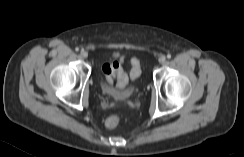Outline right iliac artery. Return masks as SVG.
Here are the masks:
<instances>
[{
    "instance_id": "1",
    "label": "right iliac artery",
    "mask_w": 244,
    "mask_h": 157,
    "mask_svg": "<svg viewBox=\"0 0 244 157\" xmlns=\"http://www.w3.org/2000/svg\"><path fill=\"white\" fill-rule=\"evenodd\" d=\"M75 50H76V51H79V48H76Z\"/></svg>"
}]
</instances>
